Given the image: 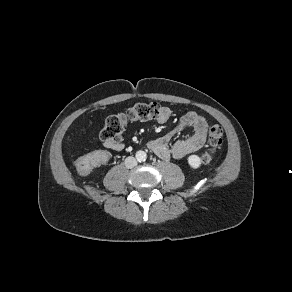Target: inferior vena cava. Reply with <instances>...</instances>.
<instances>
[{"mask_svg": "<svg viewBox=\"0 0 292 292\" xmlns=\"http://www.w3.org/2000/svg\"><path fill=\"white\" fill-rule=\"evenodd\" d=\"M136 165H137V160L134 157L129 156L125 159L126 168L131 169L135 167Z\"/></svg>", "mask_w": 292, "mask_h": 292, "instance_id": "inferior-vena-cava-1", "label": "inferior vena cava"}]
</instances>
